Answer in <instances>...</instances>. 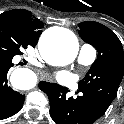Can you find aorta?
Here are the masks:
<instances>
[{
	"label": "aorta",
	"mask_w": 124,
	"mask_h": 124,
	"mask_svg": "<svg viewBox=\"0 0 124 124\" xmlns=\"http://www.w3.org/2000/svg\"><path fill=\"white\" fill-rule=\"evenodd\" d=\"M78 40L76 36L66 29L46 30L39 40V51L44 60L53 66L70 64L78 53ZM27 69H16L11 76L12 83L22 89L28 88L25 83Z\"/></svg>",
	"instance_id": "1"
}]
</instances>
